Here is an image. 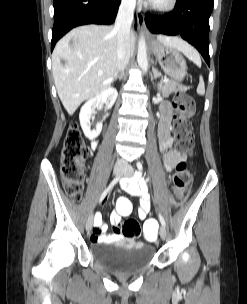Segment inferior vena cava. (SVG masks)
Listing matches in <instances>:
<instances>
[{"label": "inferior vena cava", "instance_id": "1", "mask_svg": "<svg viewBox=\"0 0 247 304\" xmlns=\"http://www.w3.org/2000/svg\"><path fill=\"white\" fill-rule=\"evenodd\" d=\"M135 0H122L119 7L114 30L117 32L118 70L123 73L129 63L131 44L130 27L134 19ZM125 161L119 159L117 166H124Z\"/></svg>", "mask_w": 247, "mask_h": 304}]
</instances>
